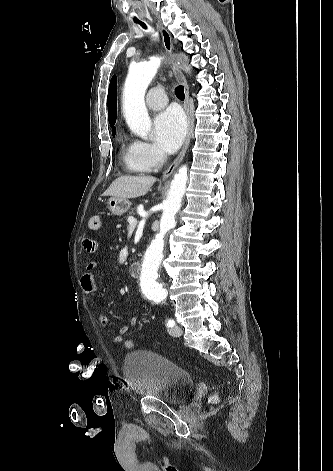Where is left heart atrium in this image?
<instances>
[{
	"mask_svg": "<svg viewBox=\"0 0 333 471\" xmlns=\"http://www.w3.org/2000/svg\"><path fill=\"white\" fill-rule=\"evenodd\" d=\"M187 130L182 112L169 108L160 113L154 121V134L158 148L165 153H174L181 145Z\"/></svg>",
	"mask_w": 333,
	"mask_h": 471,
	"instance_id": "left-heart-atrium-1",
	"label": "left heart atrium"
}]
</instances>
